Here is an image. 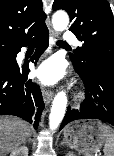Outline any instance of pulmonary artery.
<instances>
[{"mask_svg": "<svg viewBox=\"0 0 114 156\" xmlns=\"http://www.w3.org/2000/svg\"><path fill=\"white\" fill-rule=\"evenodd\" d=\"M64 39H65L66 41H69V42L74 43L75 45H78V44H79V42H78V40L76 39V37L74 36V34L71 33V32H69V31H67V32L64 34Z\"/></svg>", "mask_w": 114, "mask_h": 156, "instance_id": "e3ab8cb5", "label": "pulmonary artery"}]
</instances>
